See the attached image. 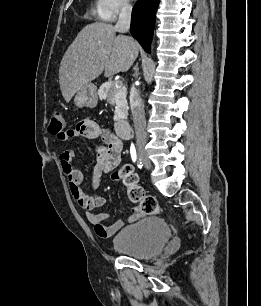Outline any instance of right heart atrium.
<instances>
[{"label": "right heart atrium", "instance_id": "1", "mask_svg": "<svg viewBox=\"0 0 261 306\" xmlns=\"http://www.w3.org/2000/svg\"><path fill=\"white\" fill-rule=\"evenodd\" d=\"M130 8L129 0H96L95 2L96 16L106 22H113Z\"/></svg>", "mask_w": 261, "mask_h": 306}]
</instances>
